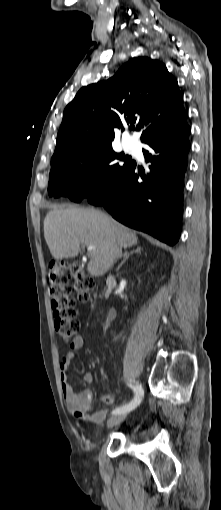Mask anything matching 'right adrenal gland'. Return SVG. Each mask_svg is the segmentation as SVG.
<instances>
[{"label": "right adrenal gland", "instance_id": "right-adrenal-gland-1", "mask_svg": "<svg viewBox=\"0 0 221 510\" xmlns=\"http://www.w3.org/2000/svg\"><path fill=\"white\" fill-rule=\"evenodd\" d=\"M133 253H137V254H141V248L140 247H137L135 250L131 251V252H125L124 253V259L123 261L120 263L119 267L120 268L124 263L125 261L130 257V255H132Z\"/></svg>", "mask_w": 221, "mask_h": 510}]
</instances>
